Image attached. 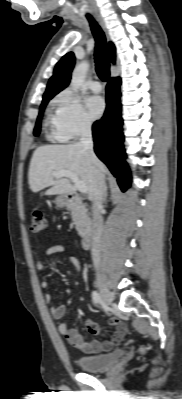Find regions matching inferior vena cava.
<instances>
[{
	"label": "inferior vena cava",
	"mask_w": 182,
	"mask_h": 399,
	"mask_svg": "<svg viewBox=\"0 0 182 399\" xmlns=\"http://www.w3.org/2000/svg\"><path fill=\"white\" fill-rule=\"evenodd\" d=\"M79 145L86 151L90 160L95 165V182H94V198H93V234H92V260L96 270L100 268L101 247H102V230L103 217L102 208L105 201V177L97 168L99 160L93 151V139L91 131V122L84 121L80 129Z\"/></svg>",
	"instance_id": "602c4592"
}]
</instances>
